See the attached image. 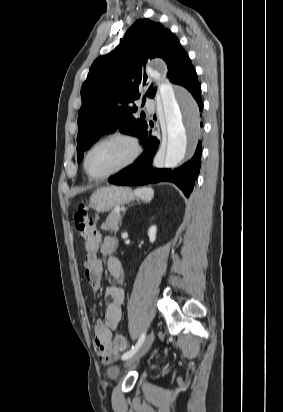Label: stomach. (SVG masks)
<instances>
[{"label": "stomach", "mask_w": 283, "mask_h": 412, "mask_svg": "<svg viewBox=\"0 0 283 412\" xmlns=\"http://www.w3.org/2000/svg\"><path fill=\"white\" fill-rule=\"evenodd\" d=\"M135 198L125 187L108 186L97 189L90 197V207L98 213H105L115 206L124 205Z\"/></svg>", "instance_id": "obj_1"}]
</instances>
